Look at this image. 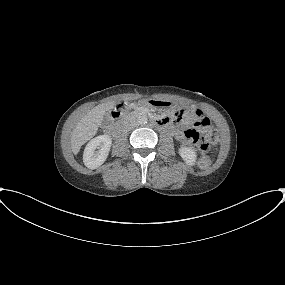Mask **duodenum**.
Returning <instances> with one entry per match:
<instances>
[{"mask_svg":"<svg viewBox=\"0 0 285 285\" xmlns=\"http://www.w3.org/2000/svg\"><path fill=\"white\" fill-rule=\"evenodd\" d=\"M114 119H116V116H114L113 121L109 125V132L114 135H118L122 130V126L119 123L115 122ZM154 122L159 127H162L165 129L171 128V123H169L168 120L165 118H155Z\"/></svg>","mask_w":285,"mask_h":285,"instance_id":"410a0bca","label":"duodenum"}]
</instances>
